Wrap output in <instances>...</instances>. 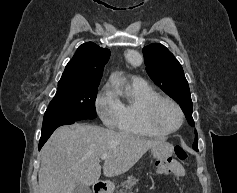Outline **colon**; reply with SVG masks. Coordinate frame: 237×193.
Here are the masks:
<instances>
[{"instance_id":"1","label":"colon","mask_w":237,"mask_h":193,"mask_svg":"<svg viewBox=\"0 0 237 193\" xmlns=\"http://www.w3.org/2000/svg\"><path fill=\"white\" fill-rule=\"evenodd\" d=\"M187 158V152L183 147L177 146L174 149V156L167 160L161 161L157 165V170L161 174L172 171L173 163L176 161H184Z\"/></svg>"}]
</instances>
